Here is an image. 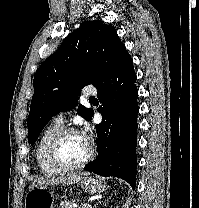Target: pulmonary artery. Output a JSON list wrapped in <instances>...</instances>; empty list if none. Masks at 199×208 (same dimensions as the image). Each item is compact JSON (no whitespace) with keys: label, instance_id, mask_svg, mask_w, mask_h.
I'll use <instances>...</instances> for the list:
<instances>
[{"label":"pulmonary artery","instance_id":"obj_1","mask_svg":"<svg viewBox=\"0 0 199 208\" xmlns=\"http://www.w3.org/2000/svg\"><path fill=\"white\" fill-rule=\"evenodd\" d=\"M97 90L95 88H85L82 92L84 97L92 98L95 97ZM55 121L64 124L66 121V114L64 112L57 113L55 116Z\"/></svg>","mask_w":199,"mask_h":208}]
</instances>
